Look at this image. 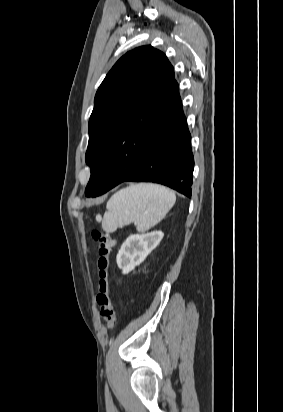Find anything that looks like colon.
I'll list each match as a JSON object with an SVG mask.
<instances>
[{
    "label": "colon",
    "instance_id": "colon-1",
    "mask_svg": "<svg viewBox=\"0 0 283 412\" xmlns=\"http://www.w3.org/2000/svg\"><path fill=\"white\" fill-rule=\"evenodd\" d=\"M91 235L97 246V268L99 279L96 302L100 306V314L102 318L105 320L108 328L112 329L116 325V313L111 297L110 256L115 241L108 233L98 229H93Z\"/></svg>",
    "mask_w": 283,
    "mask_h": 412
}]
</instances>
